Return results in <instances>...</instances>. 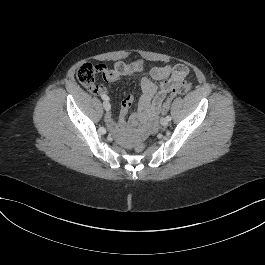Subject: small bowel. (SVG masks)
I'll return each instance as SVG.
<instances>
[{"label": "small bowel", "mask_w": 265, "mask_h": 265, "mask_svg": "<svg viewBox=\"0 0 265 265\" xmlns=\"http://www.w3.org/2000/svg\"><path fill=\"white\" fill-rule=\"evenodd\" d=\"M100 72L106 82L118 81L124 76L142 72V66L134 63L117 61L113 67L99 65ZM150 77L144 76L140 81L141 97L138 105L137 118L145 125L153 121L161 112V107L166 96L188 74V69L183 64L155 66L151 68ZM94 94L108 96L109 90L102 85H94L89 88ZM133 97L128 95L122 102L120 117L116 121L111 114H106L105 121L111 129H119L125 121V116L133 104Z\"/></svg>", "instance_id": "obj_1"}]
</instances>
